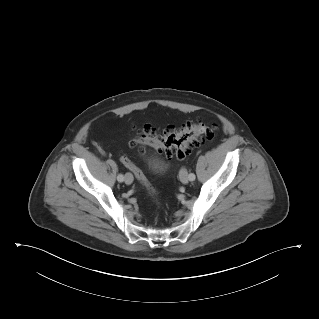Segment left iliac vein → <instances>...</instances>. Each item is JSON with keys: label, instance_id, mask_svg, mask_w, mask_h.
<instances>
[{"label": "left iliac vein", "instance_id": "1", "mask_svg": "<svg viewBox=\"0 0 319 319\" xmlns=\"http://www.w3.org/2000/svg\"><path fill=\"white\" fill-rule=\"evenodd\" d=\"M180 180L182 183L187 184L189 182V176L187 171L183 168L180 171Z\"/></svg>", "mask_w": 319, "mask_h": 319}]
</instances>
